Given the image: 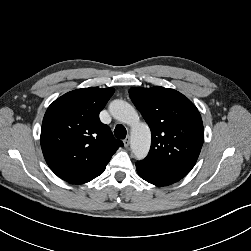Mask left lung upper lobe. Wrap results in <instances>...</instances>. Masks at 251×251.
I'll use <instances>...</instances> for the list:
<instances>
[{
	"label": "left lung upper lobe",
	"instance_id": "5c2ea615",
	"mask_svg": "<svg viewBox=\"0 0 251 251\" xmlns=\"http://www.w3.org/2000/svg\"><path fill=\"white\" fill-rule=\"evenodd\" d=\"M129 96L152 134L150 151L140 162L190 172L204 141L196 106L180 92L160 86L134 87Z\"/></svg>",
	"mask_w": 251,
	"mask_h": 251
}]
</instances>
